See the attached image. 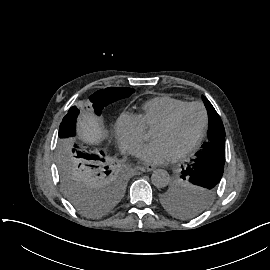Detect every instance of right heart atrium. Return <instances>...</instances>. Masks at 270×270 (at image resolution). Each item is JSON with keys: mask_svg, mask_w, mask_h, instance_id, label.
<instances>
[{"mask_svg": "<svg viewBox=\"0 0 270 270\" xmlns=\"http://www.w3.org/2000/svg\"><path fill=\"white\" fill-rule=\"evenodd\" d=\"M114 136L122 153L135 155L143 146L144 129L138 119L128 113H123L114 125Z\"/></svg>", "mask_w": 270, "mask_h": 270, "instance_id": "1", "label": "right heart atrium"}]
</instances>
